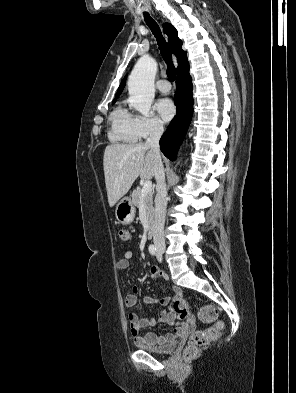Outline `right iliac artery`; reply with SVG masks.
Instances as JSON below:
<instances>
[{"label":"right iliac artery","mask_w":296,"mask_h":393,"mask_svg":"<svg viewBox=\"0 0 296 393\" xmlns=\"http://www.w3.org/2000/svg\"><path fill=\"white\" fill-rule=\"evenodd\" d=\"M149 252H150L151 255H155L156 254V247L151 244L149 246Z\"/></svg>","instance_id":"1"}]
</instances>
